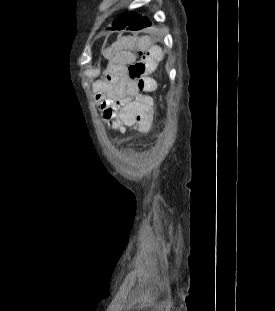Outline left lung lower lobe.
Here are the masks:
<instances>
[{
    "label": "left lung lower lobe",
    "mask_w": 275,
    "mask_h": 311,
    "mask_svg": "<svg viewBox=\"0 0 275 311\" xmlns=\"http://www.w3.org/2000/svg\"><path fill=\"white\" fill-rule=\"evenodd\" d=\"M149 26H151V23L146 17L138 16V18L132 24L126 27V29L136 31Z\"/></svg>",
    "instance_id": "obj_1"
}]
</instances>
